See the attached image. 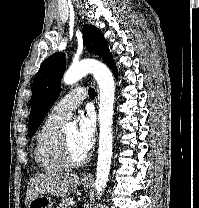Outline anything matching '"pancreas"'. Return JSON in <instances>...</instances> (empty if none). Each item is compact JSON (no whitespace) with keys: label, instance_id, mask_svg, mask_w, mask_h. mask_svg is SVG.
<instances>
[{"label":"pancreas","instance_id":"obj_1","mask_svg":"<svg viewBox=\"0 0 199 208\" xmlns=\"http://www.w3.org/2000/svg\"><path fill=\"white\" fill-rule=\"evenodd\" d=\"M70 202L71 199H64L63 201H61V203H59V205L57 206V208H70Z\"/></svg>","mask_w":199,"mask_h":208}]
</instances>
